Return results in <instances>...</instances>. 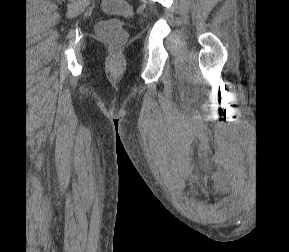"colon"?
I'll list each match as a JSON object with an SVG mask.
<instances>
[{"mask_svg":"<svg viewBox=\"0 0 289 252\" xmlns=\"http://www.w3.org/2000/svg\"><path fill=\"white\" fill-rule=\"evenodd\" d=\"M101 6L103 12L108 15L130 17L133 14L131 5L125 0H102ZM96 32L99 37L113 45H121L127 38L123 23L116 18L100 21Z\"/></svg>","mask_w":289,"mask_h":252,"instance_id":"1","label":"colon"}]
</instances>
